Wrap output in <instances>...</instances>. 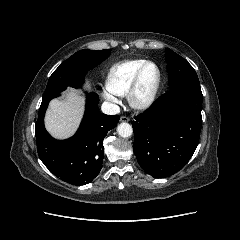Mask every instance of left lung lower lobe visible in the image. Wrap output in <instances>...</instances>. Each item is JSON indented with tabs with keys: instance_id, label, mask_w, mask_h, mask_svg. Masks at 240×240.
Instances as JSON below:
<instances>
[{
	"instance_id": "0a47b994",
	"label": "left lung lower lobe",
	"mask_w": 240,
	"mask_h": 240,
	"mask_svg": "<svg viewBox=\"0 0 240 240\" xmlns=\"http://www.w3.org/2000/svg\"><path fill=\"white\" fill-rule=\"evenodd\" d=\"M202 99L200 86H177L135 117L133 151L147 174L164 178L190 160L199 143Z\"/></svg>"
}]
</instances>
